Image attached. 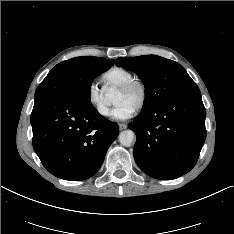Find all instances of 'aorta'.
<instances>
[{
  "label": "aorta",
  "mask_w": 234,
  "mask_h": 234,
  "mask_svg": "<svg viewBox=\"0 0 234 234\" xmlns=\"http://www.w3.org/2000/svg\"><path fill=\"white\" fill-rule=\"evenodd\" d=\"M110 96V93L108 94V97ZM134 137L135 134L132 130H125L122 131L119 134V142L123 145V146H130L133 141H134Z\"/></svg>",
  "instance_id": "762f6f07"
}]
</instances>
